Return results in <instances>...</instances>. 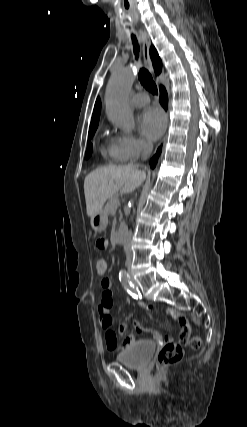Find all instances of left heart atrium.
<instances>
[{
	"instance_id": "obj_1",
	"label": "left heart atrium",
	"mask_w": 247,
	"mask_h": 427,
	"mask_svg": "<svg viewBox=\"0 0 247 427\" xmlns=\"http://www.w3.org/2000/svg\"><path fill=\"white\" fill-rule=\"evenodd\" d=\"M139 126L142 134L148 140H157L166 126L164 114L157 108H148L141 114Z\"/></svg>"
}]
</instances>
